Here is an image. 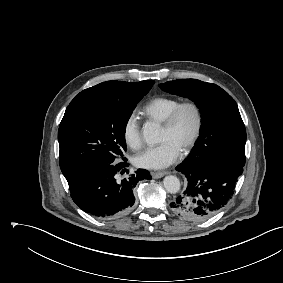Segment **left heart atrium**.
<instances>
[{
  "instance_id": "1",
  "label": "left heart atrium",
  "mask_w": 283,
  "mask_h": 283,
  "mask_svg": "<svg viewBox=\"0 0 283 283\" xmlns=\"http://www.w3.org/2000/svg\"><path fill=\"white\" fill-rule=\"evenodd\" d=\"M181 149L170 141H164L156 146H149L139 151L133 162L145 169H163L173 164L180 156Z\"/></svg>"
}]
</instances>
